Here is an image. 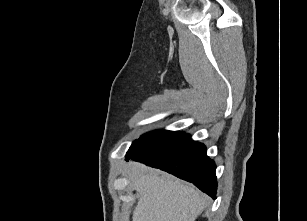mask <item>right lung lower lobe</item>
<instances>
[{"label":"right lung lower lobe","instance_id":"right-lung-lower-lobe-1","mask_svg":"<svg viewBox=\"0 0 307 221\" xmlns=\"http://www.w3.org/2000/svg\"><path fill=\"white\" fill-rule=\"evenodd\" d=\"M127 159L159 168L192 182L201 191L216 199V165L206 154V147L191 140L189 134L142 151L127 152Z\"/></svg>","mask_w":307,"mask_h":221}]
</instances>
